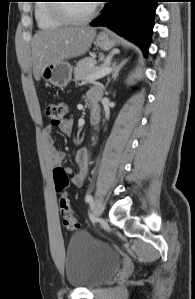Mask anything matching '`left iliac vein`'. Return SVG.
<instances>
[{"label":"left iliac vein","instance_id":"1","mask_svg":"<svg viewBox=\"0 0 195 299\" xmlns=\"http://www.w3.org/2000/svg\"><path fill=\"white\" fill-rule=\"evenodd\" d=\"M92 212L96 219L101 216V214L103 212V204L99 200H96L92 204Z\"/></svg>","mask_w":195,"mask_h":299}]
</instances>
